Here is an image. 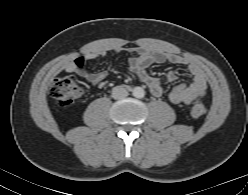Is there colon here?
<instances>
[{
	"label": "colon",
	"instance_id": "obj_1",
	"mask_svg": "<svg viewBox=\"0 0 248 195\" xmlns=\"http://www.w3.org/2000/svg\"><path fill=\"white\" fill-rule=\"evenodd\" d=\"M80 94L79 83L72 75L56 78L50 86L51 97L62 107L73 105ZM189 111L193 118H200L206 111L204 102L200 98H195Z\"/></svg>",
	"mask_w": 248,
	"mask_h": 195
}]
</instances>
